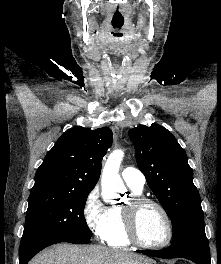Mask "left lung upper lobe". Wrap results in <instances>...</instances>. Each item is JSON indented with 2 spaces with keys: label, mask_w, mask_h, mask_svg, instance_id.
Here are the masks:
<instances>
[{
  "label": "left lung upper lobe",
  "mask_w": 221,
  "mask_h": 264,
  "mask_svg": "<svg viewBox=\"0 0 221 264\" xmlns=\"http://www.w3.org/2000/svg\"><path fill=\"white\" fill-rule=\"evenodd\" d=\"M129 136L134 143L138 168L171 219V244L206 238L193 172L175 137L158 124L130 129Z\"/></svg>",
  "instance_id": "1"
}]
</instances>
